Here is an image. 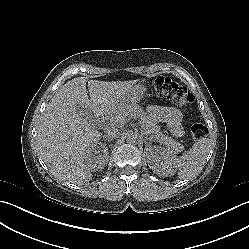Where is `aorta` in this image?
I'll use <instances>...</instances> for the list:
<instances>
[{
  "mask_svg": "<svg viewBox=\"0 0 249 249\" xmlns=\"http://www.w3.org/2000/svg\"><path fill=\"white\" fill-rule=\"evenodd\" d=\"M138 139H139V135L135 132H129L126 135V141L128 143H135L138 141Z\"/></svg>",
  "mask_w": 249,
  "mask_h": 249,
  "instance_id": "762f6f07",
  "label": "aorta"
}]
</instances>
